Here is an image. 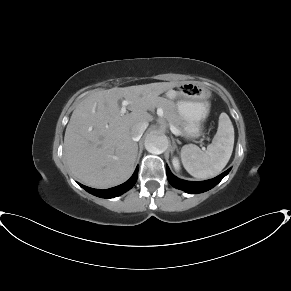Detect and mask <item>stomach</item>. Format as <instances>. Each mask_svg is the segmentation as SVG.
Masks as SVG:
<instances>
[{"mask_svg":"<svg viewBox=\"0 0 291 291\" xmlns=\"http://www.w3.org/2000/svg\"><path fill=\"white\" fill-rule=\"evenodd\" d=\"M166 95L176 100L184 135L188 138L198 137L210 112L211 91L195 82H185L168 89Z\"/></svg>","mask_w":291,"mask_h":291,"instance_id":"obj_1","label":"stomach"}]
</instances>
